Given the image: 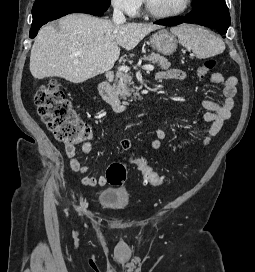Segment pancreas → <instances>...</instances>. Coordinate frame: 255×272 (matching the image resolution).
<instances>
[{"mask_svg": "<svg viewBox=\"0 0 255 272\" xmlns=\"http://www.w3.org/2000/svg\"><path fill=\"white\" fill-rule=\"evenodd\" d=\"M143 60L157 63L158 67L162 70H166L171 66V63L165 57L156 53H151L148 56L144 55ZM113 88L123 100L128 99V101H132L137 97L140 98L138 93L139 88L134 86L132 76L127 72L120 71L117 73Z\"/></svg>", "mask_w": 255, "mask_h": 272, "instance_id": "obj_1", "label": "pancreas"}]
</instances>
